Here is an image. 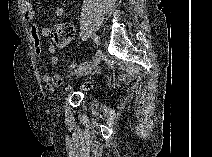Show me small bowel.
Masks as SVG:
<instances>
[{
    "label": "small bowel",
    "instance_id": "c3829d8e",
    "mask_svg": "<svg viewBox=\"0 0 212 157\" xmlns=\"http://www.w3.org/2000/svg\"><path fill=\"white\" fill-rule=\"evenodd\" d=\"M21 8L23 16L26 22H32L35 19L36 12L31 0H23L21 2ZM53 15L55 17H62L64 15V9L62 6L53 7ZM29 35L33 43L34 53L36 56H40L43 52L42 49V37L47 38L50 35V29L48 27L39 28L36 24H31L29 27ZM48 53L51 55V63L55 65L57 63V57L55 56L56 47L53 44L48 45ZM43 81L49 90L54 89L52 83L53 78L51 75L46 74L43 76Z\"/></svg>",
    "mask_w": 212,
    "mask_h": 157
}]
</instances>
